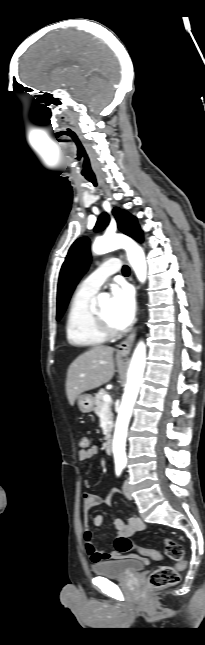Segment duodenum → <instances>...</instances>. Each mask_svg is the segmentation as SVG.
Returning <instances> with one entry per match:
<instances>
[{
    "mask_svg": "<svg viewBox=\"0 0 205 645\" xmlns=\"http://www.w3.org/2000/svg\"><path fill=\"white\" fill-rule=\"evenodd\" d=\"M104 450L106 454L111 455L113 452V443L111 438H107L104 442Z\"/></svg>",
    "mask_w": 205,
    "mask_h": 645,
    "instance_id": "410a0bca",
    "label": "duodenum"
}]
</instances>
